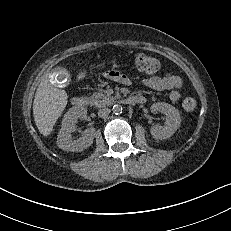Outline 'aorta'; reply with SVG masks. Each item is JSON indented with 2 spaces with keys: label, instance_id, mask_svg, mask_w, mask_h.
Here are the masks:
<instances>
[{
  "label": "aorta",
  "instance_id": "1",
  "mask_svg": "<svg viewBox=\"0 0 231 231\" xmlns=\"http://www.w3.org/2000/svg\"><path fill=\"white\" fill-rule=\"evenodd\" d=\"M112 111L114 114L118 115V114H121L122 111H123V108L120 104H115L112 108Z\"/></svg>",
  "mask_w": 231,
  "mask_h": 231
}]
</instances>
